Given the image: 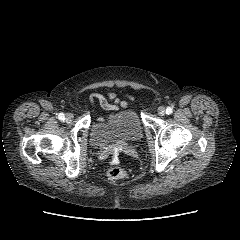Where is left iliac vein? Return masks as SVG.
<instances>
[{
    "mask_svg": "<svg viewBox=\"0 0 240 240\" xmlns=\"http://www.w3.org/2000/svg\"><path fill=\"white\" fill-rule=\"evenodd\" d=\"M157 112H158L159 115L164 116L165 113H166V110H165L164 107H159Z\"/></svg>",
    "mask_w": 240,
    "mask_h": 240,
    "instance_id": "4c4485c4",
    "label": "left iliac vein"
}]
</instances>
